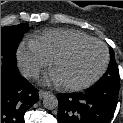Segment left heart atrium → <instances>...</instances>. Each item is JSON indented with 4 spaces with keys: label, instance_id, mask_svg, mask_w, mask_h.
I'll return each instance as SVG.
<instances>
[{
    "label": "left heart atrium",
    "instance_id": "left-heart-atrium-1",
    "mask_svg": "<svg viewBox=\"0 0 123 123\" xmlns=\"http://www.w3.org/2000/svg\"><path fill=\"white\" fill-rule=\"evenodd\" d=\"M49 81H52V82H55V83H60L57 75L55 73H52L50 78H49Z\"/></svg>",
    "mask_w": 123,
    "mask_h": 123
}]
</instances>
